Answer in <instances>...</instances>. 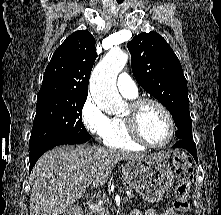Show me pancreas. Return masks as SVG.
<instances>
[{
  "instance_id": "pancreas-1",
  "label": "pancreas",
  "mask_w": 221,
  "mask_h": 215,
  "mask_svg": "<svg viewBox=\"0 0 221 215\" xmlns=\"http://www.w3.org/2000/svg\"><path fill=\"white\" fill-rule=\"evenodd\" d=\"M127 189H129V188L127 187ZM128 198L129 199H134L135 198V194H133V193L129 194ZM135 200L139 201L137 198ZM87 215H109V211L106 210V211H104L102 213H97L94 210L89 209V213Z\"/></svg>"
}]
</instances>
